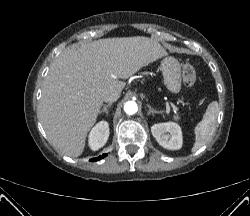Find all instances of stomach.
Segmentation results:
<instances>
[{"label":"stomach","mask_w":250,"mask_h":216,"mask_svg":"<svg viewBox=\"0 0 250 216\" xmlns=\"http://www.w3.org/2000/svg\"><path fill=\"white\" fill-rule=\"evenodd\" d=\"M160 69L167 89L173 94L179 93L182 85V74L181 64L178 60L174 57H166L162 60Z\"/></svg>","instance_id":"obj_1"}]
</instances>
